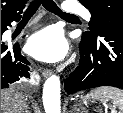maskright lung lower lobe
<instances>
[{
	"label": "right lung lower lobe",
	"instance_id": "98d812e1",
	"mask_svg": "<svg viewBox=\"0 0 123 113\" xmlns=\"http://www.w3.org/2000/svg\"><path fill=\"white\" fill-rule=\"evenodd\" d=\"M21 15H9L1 17V39L2 34L11 27V22L18 21ZM29 62L20 53L18 44L12 48L1 42V89L8 88L10 84L19 81L22 77H29Z\"/></svg>",
	"mask_w": 123,
	"mask_h": 113
}]
</instances>
